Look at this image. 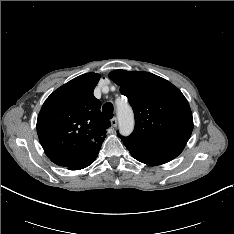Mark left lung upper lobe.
<instances>
[{"label":"left lung upper lobe","mask_w":234,"mask_h":234,"mask_svg":"<svg viewBox=\"0 0 234 234\" xmlns=\"http://www.w3.org/2000/svg\"><path fill=\"white\" fill-rule=\"evenodd\" d=\"M109 77L120 85L135 115L128 142L155 147H184L193 130L188 101L169 81L149 72L116 70Z\"/></svg>","instance_id":"obj_1"}]
</instances>
